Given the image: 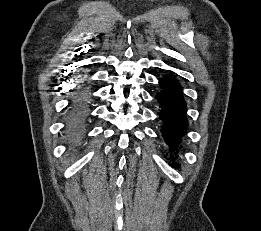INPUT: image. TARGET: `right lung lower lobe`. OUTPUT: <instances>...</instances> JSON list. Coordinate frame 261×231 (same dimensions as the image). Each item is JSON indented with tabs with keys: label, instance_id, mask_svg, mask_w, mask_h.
Listing matches in <instances>:
<instances>
[{
	"label": "right lung lower lobe",
	"instance_id": "1",
	"mask_svg": "<svg viewBox=\"0 0 261 231\" xmlns=\"http://www.w3.org/2000/svg\"><path fill=\"white\" fill-rule=\"evenodd\" d=\"M86 101V95L79 94L73 99L71 103L70 114L68 118V127L76 135L80 134L84 126V121L86 118Z\"/></svg>",
	"mask_w": 261,
	"mask_h": 231
}]
</instances>
